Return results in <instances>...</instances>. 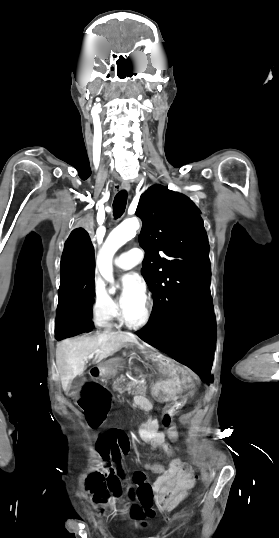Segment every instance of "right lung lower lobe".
I'll list each match as a JSON object with an SVG mask.
<instances>
[{"label": "right lung lower lobe", "instance_id": "obj_1", "mask_svg": "<svg viewBox=\"0 0 279 538\" xmlns=\"http://www.w3.org/2000/svg\"><path fill=\"white\" fill-rule=\"evenodd\" d=\"M94 249L88 233L75 229L65 242L61 258L55 338L62 340L94 329Z\"/></svg>", "mask_w": 279, "mask_h": 538}]
</instances>
